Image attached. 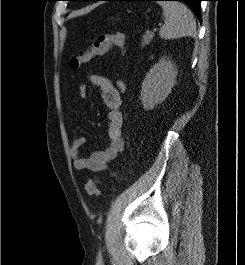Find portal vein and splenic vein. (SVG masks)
<instances>
[{"mask_svg":"<svg viewBox=\"0 0 245 265\" xmlns=\"http://www.w3.org/2000/svg\"><path fill=\"white\" fill-rule=\"evenodd\" d=\"M153 31L155 32V31H157V29L155 28Z\"/></svg>","mask_w":245,"mask_h":265,"instance_id":"1","label":"portal vein and splenic vein"}]
</instances>
